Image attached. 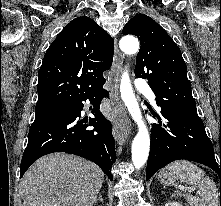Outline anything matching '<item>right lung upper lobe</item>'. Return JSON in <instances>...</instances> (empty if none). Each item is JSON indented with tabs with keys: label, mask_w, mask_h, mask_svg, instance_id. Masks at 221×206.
I'll return each mask as SVG.
<instances>
[{
	"label": "right lung upper lobe",
	"mask_w": 221,
	"mask_h": 206,
	"mask_svg": "<svg viewBox=\"0 0 221 206\" xmlns=\"http://www.w3.org/2000/svg\"><path fill=\"white\" fill-rule=\"evenodd\" d=\"M113 52V39L91 18L72 20L45 53L35 108L70 105L102 86Z\"/></svg>",
	"instance_id": "cb5924a9"
}]
</instances>
